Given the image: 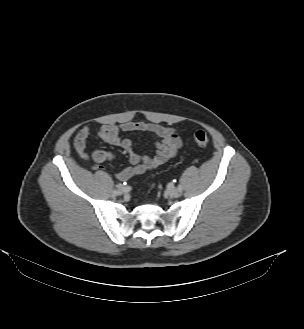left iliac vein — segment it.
Here are the masks:
<instances>
[{"instance_id": "left-iliac-vein-1", "label": "left iliac vein", "mask_w": 304, "mask_h": 329, "mask_svg": "<svg viewBox=\"0 0 304 329\" xmlns=\"http://www.w3.org/2000/svg\"><path fill=\"white\" fill-rule=\"evenodd\" d=\"M168 194L171 197L177 198V197H179L181 195V192L179 191L178 188L172 187V188L168 189Z\"/></svg>"}]
</instances>
